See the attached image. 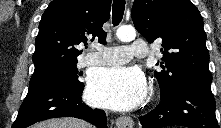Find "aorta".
<instances>
[{"label": "aorta", "instance_id": "obj_1", "mask_svg": "<svg viewBox=\"0 0 221 128\" xmlns=\"http://www.w3.org/2000/svg\"><path fill=\"white\" fill-rule=\"evenodd\" d=\"M116 36L123 42H130L136 38V31L133 27L121 26L117 29Z\"/></svg>", "mask_w": 221, "mask_h": 128}]
</instances>
